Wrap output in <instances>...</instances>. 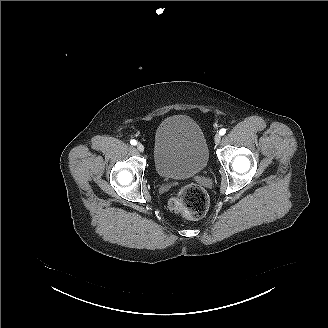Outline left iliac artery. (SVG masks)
<instances>
[{"instance_id": "1", "label": "left iliac artery", "mask_w": 328, "mask_h": 328, "mask_svg": "<svg viewBox=\"0 0 328 328\" xmlns=\"http://www.w3.org/2000/svg\"><path fill=\"white\" fill-rule=\"evenodd\" d=\"M225 133H226V129L224 128L219 131L220 136L224 135Z\"/></svg>"}]
</instances>
